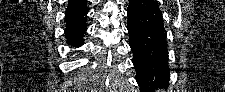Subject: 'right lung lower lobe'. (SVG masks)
Segmentation results:
<instances>
[{
    "label": "right lung lower lobe",
    "instance_id": "right-lung-lower-lobe-1",
    "mask_svg": "<svg viewBox=\"0 0 225 92\" xmlns=\"http://www.w3.org/2000/svg\"><path fill=\"white\" fill-rule=\"evenodd\" d=\"M86 14L74 19L65 20V37L67 39V43L73 47H80L83 44V36L87 29Z\"/></svg>",
    "mask_w": 225,
    "mask_h": 92
}]
</instances>
